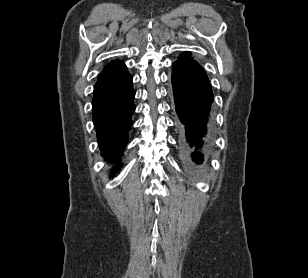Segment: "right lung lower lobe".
I'll return each instance as SVG.
<instances>
[{"instance_id":"1","label":"right lung lower lobe","mask_w":308,"mask_h":278,"mask_svg":"<svg viewBox=\"0 0 308 278\" xmlns=\"http://www.w3.org/2000/svg\"><path fill=\"white\" fill-rule=\"evenodd\" d=\"M134 97L130 75L119 82L94 87L92 111L97 140L102 157L113 163L120 161L127 144L131 115L135 110ZM120 166L117 164L112 173Z\"/></svg>"}]
</instances>
